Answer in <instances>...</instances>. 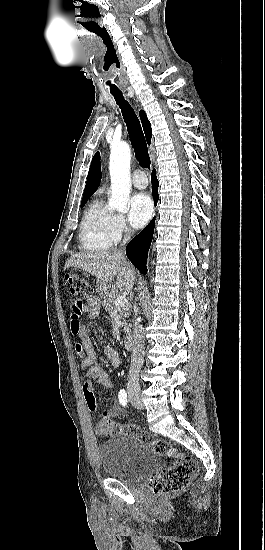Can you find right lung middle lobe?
<instances>
[{
    "mask_svg": "<svg viewBox=\"0 0 265 550\" xmlns=\"http://www.w3.org/2000/svg\"><path fill=\"white\" fill-rule=\"evenodd\" d=\"M88 199V198H87ZM87 199H83L82 202H81V207H83L87 201Z\"/></svg>",
    "mask_w": 265,
    "mask_h": 550,
    "instance_id": "dd1d6c3e",
    "label": "right lung middle lobe"
}]
</instances>
